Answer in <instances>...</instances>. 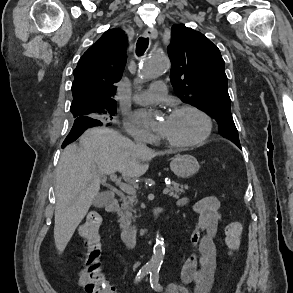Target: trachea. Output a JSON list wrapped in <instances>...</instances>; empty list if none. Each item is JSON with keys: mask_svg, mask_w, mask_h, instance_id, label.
<instances>
[{"mask_svg": "<svg viewBox=\"0 0 293 293\" xmlns=\"http://www.w3.org/2000/svg\"><path fill=\"white\" fill-rule=\"evenodd\" d=\"M149 44V38L140 37L136 44V54L138 56L142 55L147 49Z\"/></svg>", "mask_w": 293, "mask_h": 293, "instance_id": "3493384b", "label": "trachea"}]
</instances>
